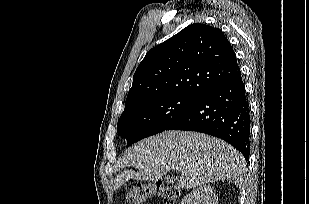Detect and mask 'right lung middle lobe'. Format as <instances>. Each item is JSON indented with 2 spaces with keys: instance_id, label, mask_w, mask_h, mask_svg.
Masks as SVG:
<instances>
[{
  "instance_id": "obj_1",
  "label": "right lung middle lobe",
  "mask_w": 309,
  "mask_h": 204,
  "mask_svg": "<svg viewBox=\"0 0 309 204\" xmlns=\"http://www.w3.org/2000/svg\"><path fill=\"white\" fill-rule=\"evenodd\" d=\"M199 99L194 95H162L125 105L117 132L127 140V146L165 131Z\"/></svg>"
}]
</instances>
